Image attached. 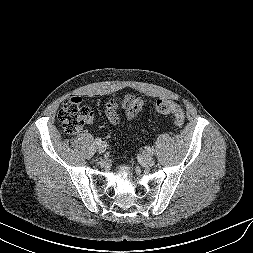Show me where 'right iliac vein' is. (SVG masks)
<instances>
[{
	"label": "right iliac vein",
	"instance_id": "right-iliac-vein-1",
	"mask_svg": "<svg viewBox=\"0 0 253 253\" xmlns=\"http://www.w3.org/2000/svg\"><path fill=\"white\" fill-rule=\"evenodd\" d=\"M106 150V144L105 143H101L97 145V151L99 153H103Z\"/></svg>",
	"mask_w": 253,
	"mask_h": 253
}]
</instances>
